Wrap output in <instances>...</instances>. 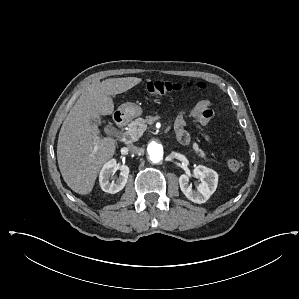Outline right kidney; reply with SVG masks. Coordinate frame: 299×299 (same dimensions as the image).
Wrapping results in <instances>:
<instances>
[{
	"mask_svg": "<svg viewBox=\"0 0 299 299\" xmlns=\"http://www.w3.org/2000/svg\"><path fill=\"white\" fill-rule=\"evenodd\" d=\"M120 170V177L114 182H110L112 174ZM129 167L127 165H118L115 159H111L104 164L99 175L101 189L107 193L115 194L121 191L127 183Z\"/></svg>",
	"mask_w": 299,
	"mask_h": 299,
	"instance_id": "obj_1",
	"label": "right kidney"
}]
</instances>
